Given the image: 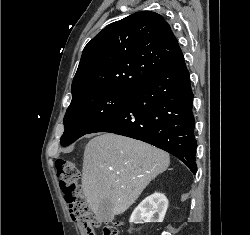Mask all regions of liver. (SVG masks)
<instances>
[{
	"label": "liver",
	"instance_id": "liver-1",
	"mask_svg": "<svg viewBox=\"0 0 250 235\" xmlns=\"http://www.w3.org/2000/svg\"><path fill=\"white\" fill-rule=\"evenodd\" d=\"M169 164V154L150 144L113 133L92 138L84 151L82 188L96 219L103 200L112 203L114 215L125 212Z\"/></svg>",
	"mask_w": 250,
	"mask_h": 235
}]
</instances>
